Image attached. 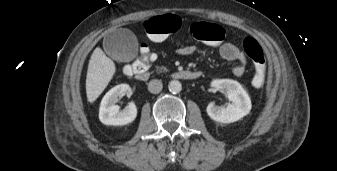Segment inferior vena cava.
Instances as JSON below:
<instances>
[{
    "label": "inferior vena cava",
    "instance_id": "inferior-vena-cava-1",
    "mask_svg": "<svg viewBox=\"0 0 337 171\" xmlns=\"http://www.w3.org/2000/svg\"><path fill=\"white\" fill-rule=\"evenodd\" d=\"M162 88H163L162 82L157 79L151 80L148 84V90L153 94L161 92Z\"/></svg>",
    "mask_w": 337,
    "mask_h": 171
}]
</instances>
